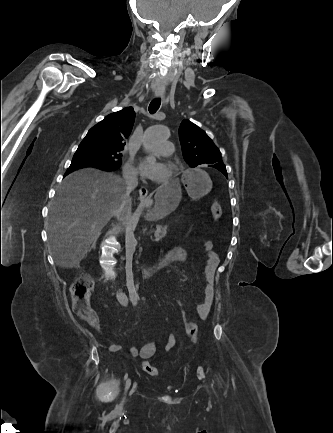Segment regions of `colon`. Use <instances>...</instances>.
<instances>
[{
    "label": "colon",
    "mask_w": 333,
    "mask_h": 433,
    "mask_svg": "<svg viewBox=\"0 0 333 433\" xmlns=\"http://www.w3.org/2000/svg\"><path fill=\"white\" fill-rule=\"evenodd\" d=\"M222 208L221 205L214 201L211 205V215L214 220H218L221 217ZM94 288V282L92 278L87 274L79 275L73 282L70 292L73 300V309L74 312L83 320H86L92 323L96 317L94 312L90 307V296L92 294ZM173 297H176V294H173ZM180 298L176 297L173 299V302L176 303L177 307H182V302H180ZM188 311L185 309L179 310V315L182 317L183 322L185 323V329L191 330L189 333L191 339L196 342L198 338V325H191L190 317L187 316ZM193 324H196V321H193ZM143 370L150 375H157L158 370L155 366L150 364L148 361L143 362L142 364Z\"/></svg>",
    "instance_id": "5ec220e1"
}]
</instances>
